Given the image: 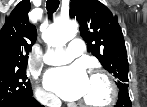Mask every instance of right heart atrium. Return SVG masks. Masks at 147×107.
I'll return each mask as SVG.
<instances>
[{
	"instance_id": "d8ad5b80",
	"label": "right heart atrium",
	"mask_w": 147,
	"mask_h": 107,
	"mask_svg": "<svg viewBox=\"0 0 147 107\" xmlns=\"http://www.w3.org/2000/svg\"><path fill=\"white\" fill-rule=\"evenodd\" d=\"M34 97L41 103L46 105H53L56 103L55 97L44 90L42 87L37 86L34 90Z\"/></svg>"
}]
</instances>
